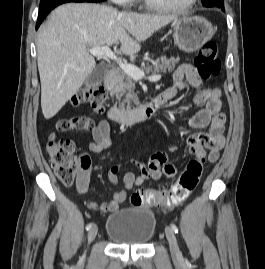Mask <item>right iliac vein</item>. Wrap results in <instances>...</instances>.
Returning <instances> with one entry per match:
<instances>
[{
  "instance_id": "obj_1",
  "label": "right iliac vein",
  "mask_w": 265,
  "mask_h": 269,
  "mask_svg": "<svg viewBox=\"0 0 265 269\" xmlns=\"http://www.w3.org/2000/svg\"><path fill=\"white\" fill-rule=\"evenodd\" d=\"M97 231H98V228H97L96 225H93V226L89 229V231H88V241H89V242H92V241L95 239V237H96V235H97Z\"/></svg>"
}]
</instances>
